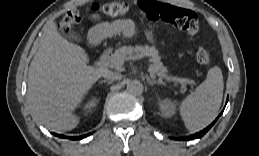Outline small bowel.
Instances as JSON below:
<instances>
[{
    "mask_svg": "<svg viewBox=\"0 0 259 156\" xmlns=\"http://www.w3.org/2000/svg\"><path fill=\"white\" fill-rule=\"evenodd\" d=\"M93 20L96 22V24L92 28L91 36L95 40L116 33L132 35L136 30V25L131 20H118L114 22H106L100 20L99 16H93Z\"/></svg>",
    "mask_w": 259,
    "mask_h": 156,
    "instance_id": "1",
    "label": "small bowel"
}]
</instances>
